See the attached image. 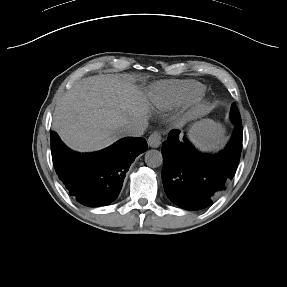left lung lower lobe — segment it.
<instances>
[{
	"label": "left lung lower lobe",
	"mask_w": 287,
	"mask_h": 287,
	"mask_svg": "<svg viewBox=\"0 0 287 287\" xmlns=\"http://www.w3.org/2000/svg\"><path fill=\"white\" fill-rule=\"evenodd\" d=\"M235 131L227 147L216 155L197 152L180 131L173 129L163 143L165 155L162 182L167 197L187 210H200L212 204L235 174L242 150L241 119L234 120Z\"/></svg>",
	"instance_id": "1"
}]
</instances>
